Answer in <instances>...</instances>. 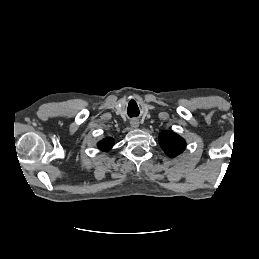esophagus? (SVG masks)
<instances>
[{
	"label": "esophagus",
	"mask_w": 259,
	"mask_h": 259,
	"mask_svg": "<svg viewBox=\"0 0 259 259\" xmlns=\"http://www.w3.org/2000/svg\"><path fill=\"white\" fill-rule=\"evenodd\" d=\"M131 126L133 128H138L139 127V121L138 120H132L131 121Z\"/></svg>",
	"instance_id": "obj_1"
}]
</instances>
